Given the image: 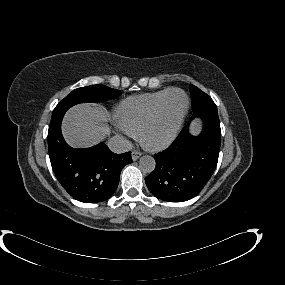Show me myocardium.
<instances>
[{"label":"myocardium","instance_id":"myocardium-1","mask_svg":"<svg viewBox=\"0 0 285 285\" xmlns=\"http://www.w3.org/2000/svg\"><path fill=\"white\" fill-rule=\"evenodd\" d=\"M173 92H180L184 95L185 100H186L185 108H184L181 116L179 117L173 132L171 133V135L169 137H167L161 141H158V142H149L147 140V134L160 121V119L164 113L167 100ZM189 106H190V101H189V97H188L187 93L180 88H171L164 95V97L162 98V100L158 104V106H157L155 112L153 113V115L151 116V118L146 122V124L141 129V131L139 133V139H140L141 143L150 149H160V148H164V147L170 145L177 138V136L181 130V127H182V125L186 119V116L189 112Z\"/></svg>","mask_w":285,"mask_h":285}]
</instances>
